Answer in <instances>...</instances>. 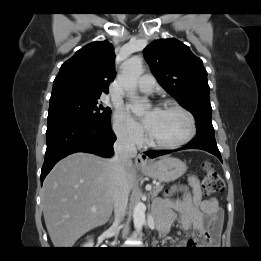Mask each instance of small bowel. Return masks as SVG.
<instances>
[{"label": "small bowel", "mask_w": 261, "mask_h": 261, "mask_svg": "<svg viewBox=\"0 0 261 261\" xmlns=\"http://www.w3.org/2000/svg\"><path fill=\"white\" fill-rule=\"evenodd\" d=\"M192 195L182 200H161L158 225L162 230H170L176 214H180V223L186 232L191 234L208 233L213 242H217L222 229V212L215 198H202L198 179L189 178Z\"/></svg>", "instance_id": "1"}]
</instances>
